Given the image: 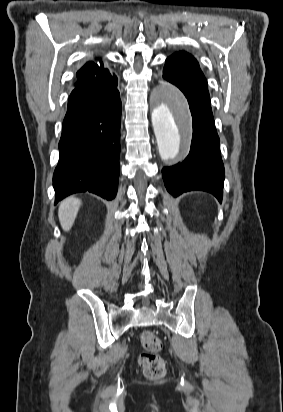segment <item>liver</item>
Returning a JSON list of instances; mask_svg holds the SVG:
<instances>
[{"mask_svg": "<svg viewBox=\"0 0 283 412\" xmlns=\"http://www.w3.org/2000/svg\"><path fill=\"white\" fill-rule=\"evenodd\" d=\"M80 206L81 200L73 197L61 202L58 209V217L64 231H69L72 228Z\"/></svg>", "mask_w": 283, "mask_h": 412, "instance_id": "obj_1", "label": "liver"}]
</instances>
